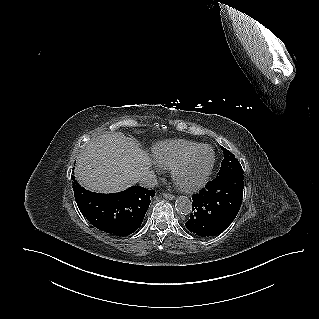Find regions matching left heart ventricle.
I'll return each mask as SVG.
<instances>
[{"label":"left heart ventricle","instance_id":"left-heart-ventricle-1","mask_svg":"<svg viewBox=\"0 0 319 319\" xmlns=\"http://www.w3.org/2000/svg\"><path fill=\"white\" fill-rule=\"evenodd\" d=\"M212 160V152L209 148L200 149L190 160L181 173V180L186 184H191L199 180Z\"/></svg>","mask_w":319,"mask_h":319}]
</instances>
